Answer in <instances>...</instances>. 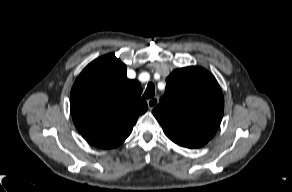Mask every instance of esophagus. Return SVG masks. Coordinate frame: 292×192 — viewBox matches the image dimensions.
Listing matches in <instances>:
<instances>
[{
    "label": "esophagus",
    "instance_id": "34e87169",
    "mask_svg": "<svg viewBox=\"0 0 292 192\" xmlns=\"http://www.w3.org/2000/svg\"><path fill=\"white\" fill-rule=\"evenodd\" d=\"M159 100L157 97L151 98L147 100V105L149 107V109H153L157 104H158Z\"/></svg>",
    "mask_w": 292,
    "mask_h": 192
}]
</instances>
